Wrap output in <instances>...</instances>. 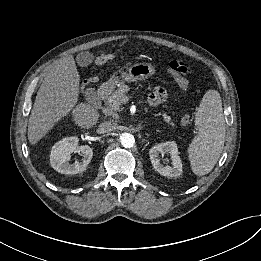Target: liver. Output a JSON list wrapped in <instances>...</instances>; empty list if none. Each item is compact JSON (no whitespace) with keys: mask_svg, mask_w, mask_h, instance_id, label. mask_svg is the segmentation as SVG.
<instances>
[{"mask_svg":"<svg viewBox=\"0 0 261 261\" xmlns=\"http://www.w3.org/2000/svg\"><path fill=\"white\" fill-rule=\"evenodd\" d=\"M80 77L72 55L63 58L45 76L31 110L28 140L34 145L64 116L73 111L75 123L82 128L93 127L99 113L91 105L80 103Z\"/></svg>","mask_w":261,"mask_h":261,"instance_id":"liver-1","label":"liver"}]
</instances>
